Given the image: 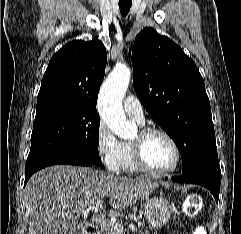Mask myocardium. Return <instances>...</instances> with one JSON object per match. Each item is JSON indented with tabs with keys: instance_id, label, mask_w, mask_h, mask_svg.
Returning a JSON list of instances; mask_svg holds the SVG:
<instances>
[{
	"instance_id": "obj_1",
	"label": "myocardium",
	"mask_w": 241,
	"mask_h": 234,
	"mask_svg": "<svg viewBox=\"0 0 241 234\" xmlns=\"http://www.w3.org/2000/svg\"><path fill=\"white\" fill-rule=\"evenodd\" d=\"M154 134H159L164 136L173 146L175 151V161L173 165L166 170H155L151 168L144 157V145L147 138ZM139 139L131 142L132 156L137 168L151 176L164 177L172 174L177 170L181 162V149L175 138L166 130L160 127H146L139 131Z\"/></svg>"
}]
</instances>
